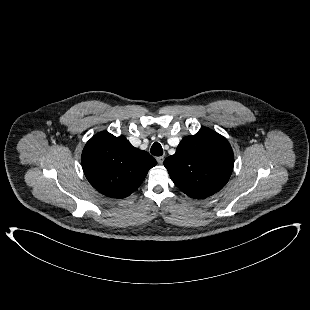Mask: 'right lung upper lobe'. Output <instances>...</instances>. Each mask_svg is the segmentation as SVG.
Segmentation results:
<instances>
[{"mask_svg":"<svg viewBox=\"0 0 310 310\" xmlns=\"http://www.w3.org/2000/svg\"><path fill=\"white\" fill-rule=\"evenodd\" d=\"M82 168L90 184L101 194L125 198L145 179L156 160L133 147L124 136L100 132L85 145Z\"/></svg>","mask_w":310,"mask_h":310,"instance_id":"cb5924a9","label":"right lung upper lobe"}]
</instances>
